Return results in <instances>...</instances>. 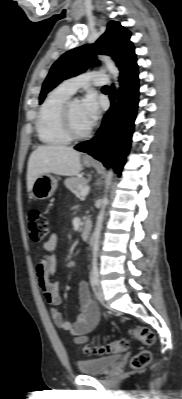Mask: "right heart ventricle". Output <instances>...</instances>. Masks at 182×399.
<instances>
[{"instance_id": "e07e8e85", "label": "right heart ventricle", "mask_w": 182, "mask_h": 399, "mask_svg": "<svg viewBox=\"0 0 182 399\" xmlns=\"http://www.w3.org/2000/svg\"><path fill=\"white\" fill-rule=\"evenodd\" d=\"M71 94L60 86L52 90L40 107L36 130L41 142L47 145L67 144L70 139L63 131L61 113Z\"/></svg>"}]
</instances>
